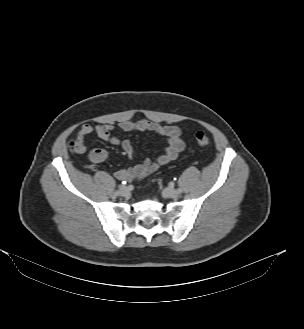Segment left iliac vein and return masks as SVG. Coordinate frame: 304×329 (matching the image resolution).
<instances>
[{"instance_id":"left-iliac-vein-1","label":"left iliac vein","mask_w":304,"mask_h":329,"mask_svg":"<svg viewBox=\"0 0 304 329\" xmlns=\"http://www.w3.org/2000/svg\"><path fill=\"white\" fill-rule=\"evenodd\" d=\"M162 195L165 197V198H177L179 196V193L177 190H175L174 188H164L163 191H162Z\"/></svg>"}]
</instances>
